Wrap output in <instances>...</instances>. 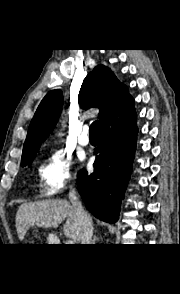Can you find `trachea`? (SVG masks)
<instances>
[{
  "label": "trachea",
  "instance_id": "trachea-1",
  "mask_svg": "<svg viewBox=\"0 0 180 294\" xmlns=\"http://www.w3.org/2000/svg\"><path fill=\"white\" fill-rule=\"evenodd\" d=\"M98 135V121H95L90 126V136Z\"/></svg>",
  "mask_w": 180,
  "mask_h": 294
}]
</instances>
